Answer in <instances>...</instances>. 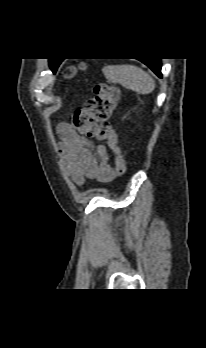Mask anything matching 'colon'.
I'll use <instances>...</instances> for the list:
<instances>
[{"label": "colon", "mask_w": 206, "mask_h": 348, "mask_svg": "<svg viewBox=\"0 0 206 348\" xmlns=\"http://www.w3.org/2000/svg\"><path fill=\"white\" fill-rule=\"evenodd\" d=\"M76 70V66H68L63 76L70 78ZM119 98L120 91L116 86L100 83L96 85L93 96L86 101L84 107L73 113L71 121L78 132L107 142L115 156L116 173L123 175L127 169L126 160L119 146L117 134L109 122Z\"/></svg>", "instance_id": "colon-1"}]
</instances>
